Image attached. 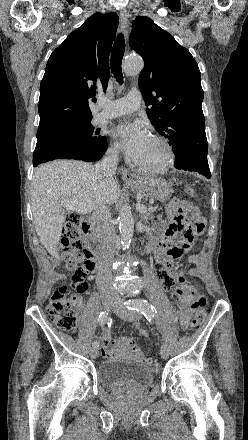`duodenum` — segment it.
<instances>
[{
	"instance_id": "1",
	"label": "duodenum",
	"mask_w": 248,
	"mask_h": 440,
	"mask_svg": "<svg viewBox=\"0 0 248 440\" xmlns=\"http://www.w3.org/2000/svg\"><path fill=\"white\" fill-rule=\"evenodd\" d=\"M83 230L86 238V243L96 256L98 263L101 261L102 252L98 238L91 232L90 225L87 222L83 223Z\"/></svg>"
}]
</instances>
